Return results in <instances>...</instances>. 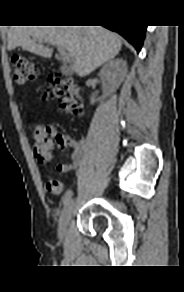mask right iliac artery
Wrapping results in <instances>:
<instances>
[{
  "label": "right iliac artery",
  "instance_id": "1",
  "mask_svg": "<svg viewBox=\"0 0 184 292\" xmlns=\"http://www.w3.org/2000/svg\"><path fill=\"white\" fill-rule=\"evenodd\" d=\"M72 194H73L72 190H68L65 193V195L62 198V202H63L64 205H66L70 201V199L72 197Z\"/></svg>",
  "mask_w": 184,
  "mask_h": 292
}]
</instances>
